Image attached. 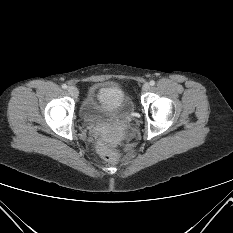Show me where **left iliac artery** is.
Listing matches in <instances>:
<instances>
[{
	"label": "left iliac artery",
	"mask_w": 233,
	"mask_h": 233,
	"mask_svg": "<svg viewBox=\"0 0 233 233\" xmlns=\"http://www.w3.org/2000/svg\"><path fill=\"white\" fill-rule=\"evenodd\" d=\"M150 85H151V86H154V85H155V81H154V80H151V81H150Z\"/></svg>",
	"instance_id": "left-iliac-artery-1"
}]
</instances>
